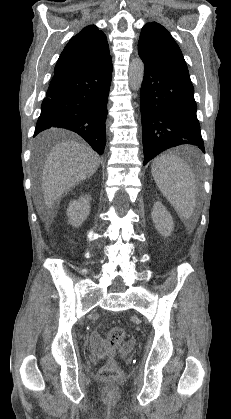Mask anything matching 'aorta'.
<instances>
[{
  "instance_id": "obj_1",
  "label": "aorta",
  "mask_w": 231,
  "mask_h": 419,
  "mask_svg": "<svg viewBox=\"0 0 231 419\" xmlns=\"http://www.w3.org/2000/svg\"><path fill=\"white\" fill-rule=\"evenodd\" d=\"M144 77V63L140 58H134L129 67V84L132 90L138 91Z\"/></svg>"
}]
</instances>
